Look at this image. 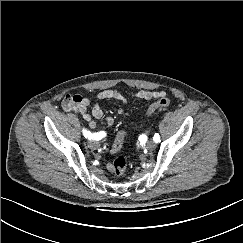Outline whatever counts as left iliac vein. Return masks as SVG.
Wrapping results in <instances>:
<instances>
[{"instance_id": "obj_1", "label": "left iliac vein", "mask_w": 243, "mask_h": 243, "mask_svg": "<svg viewBox=\"0 0 243 243\" xmlns=\"http://www.w3.org/2000/svg\"><path fill=\"white\" fill-rule=\"evenodd\" d=\"M147 148H148V150H154L156 148L155 142L154 141H149L147 143Z\"/></svg>"}]
</instances>
